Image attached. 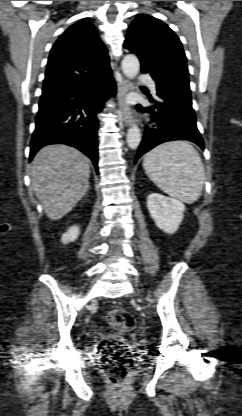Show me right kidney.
Listing matches in <instances>:
<instances>
[{
    "mask_svg": "<svg viewBox=\"0 0 242 416\" xmlns=\"http://www.w3.org/2000/svg\"><path fill=\"white\" fill-rule=\"evenodd\" d=\"M79 233L80 230L78 226L70 227L68 231L62 235V243L67 244L69 242H74L77 239Z\"/></svg>",
    "mask_w": 242,
    "mask_h": 416,
    "instance_id": "1",
    "label": "right kidney"
}]
</instances>
